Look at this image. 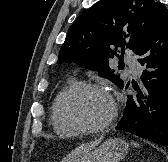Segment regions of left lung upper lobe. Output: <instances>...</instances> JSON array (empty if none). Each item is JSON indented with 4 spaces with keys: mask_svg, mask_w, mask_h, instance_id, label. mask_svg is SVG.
<instances>
[{
    "mask_svg": "<svg viewBox=\"0 0 168 162\" xmlns=\"http://www.w3.org/2000/svg\"><path fill=\"white\" fill-rule=\"evenodd\" d=\"M166 15L168 10L157 0H101L73 23L58 63L98 70L123 88V80L109 67L115 50L129 48L136 54Z\"/></svg>",
    "mask_w": 168,
    "mask_h": 162,
    "instance_id": "obj_1",
    "label": "left lung upper lobe"
}]
</instances>
